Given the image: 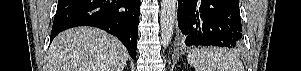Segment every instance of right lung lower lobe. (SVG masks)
Segmentation results:
<instances>
[{"label":"right lung lower lobe","instance_id":"98d812e1","mask_svg":"<svg viewBox=\"0 0 301 71\" xmlns=\"http://www.w3.org/2000/svg\"><path fill=\"white\" fill-rule=\"evenodd\" d=\"M140 0H58L51 41L63 30L94 26L116 36L136 59Z\"/></svg>","mask_w":301,"mask_h":71}]
</instances>
